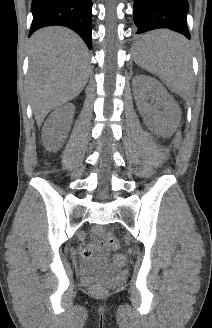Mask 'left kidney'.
<instances>
[{
  "instance_id": "obj_1",
  "label": "left kidney",
  "mask_w": 212,
  "mask_h": 328,
  "mask_svg": "<svg viewBox=\"0 0 212 328\" xmlns=\"http://www.w3.org/2000/svg\"><path fill=\"white\" fill-rule=\"evenodd\" d=\"M134 87L135 101L145 124L163 137L171 136L177 129L181 118L178 104L165 88L152 77L145 75L137 76L134 81ZM148 94L154 97L156 104L162 109L157 121L152 119L155 112L147 103L146 96Z\"/></svg>"
}]
</instances>
